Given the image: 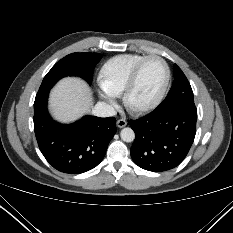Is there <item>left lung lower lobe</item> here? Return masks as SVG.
Segmentation results:
<instances>
[{
  "label": "left lung lower lobe",
  "mask_w": 233,
  "mask_h": 233,
  "mask_svg": "<svg viewBox=\"0 0 233 233\" xmlns=\"http://www.w3.org/2000/svg\"><path fill=\"white\" fill-rule=\"evenodd\" d=\"M195 104L156 108L131 122L135 140L130 153L141 168L162 172L178 166L188 154L196 134Z\"/></svg>",
  "instance_id": "obj_1"
}]
</instances>
